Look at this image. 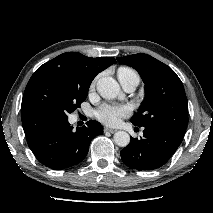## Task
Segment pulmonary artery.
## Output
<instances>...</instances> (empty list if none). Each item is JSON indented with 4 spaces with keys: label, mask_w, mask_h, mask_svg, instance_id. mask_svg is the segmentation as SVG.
I'll return each mask as SVG.
<instances>
[{
    "label": "pulmonary artery",
    "mask_w": 213,
    "mask_h": 213,
    "mask_svg": "<svg viewBox=\"0 0 213 213\" xmlns=\"http://www.w3.org/2000/svg\"><path fill=\"white\" fill-rule=\"evenodd\" d=\"M118 78H119L121 86L127 92H133L139 83L138 76H134V75L123 76Z\"/></svg>",
    "instance_id": "1"
}]
</instances>
